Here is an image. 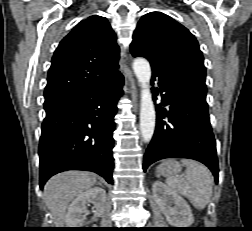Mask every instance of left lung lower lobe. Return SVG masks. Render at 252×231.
Listing matches in <instances>:
<instances>
[{"mask_svg": "<svg viewBox=\"0 0 252 231\" xmlns=\"http://www.w3.org/2000/svg\"><path fill=\"white\" fill-rule=\"evenodd\" d=\"M153 81L158 82V88L153 89L155 95L162 94V102L156 106V130L144 155V171L164 158H189L208 166L218 182L205 81L185 72L165 70H153Z\"/></svg>", "mask_w": 252, "mask_h": 231, "instance_id": "obj_1", "label": "left lung lower lobe"}]
</instances>
